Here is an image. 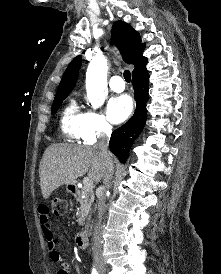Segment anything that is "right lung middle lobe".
Here are the masks:
<instances>
[{"label":"right lung middle lobe","instance_id":"obj_1","mask_svg":"<svg viewBox=\"0 0 221 274\" xmlns=\"http://www.w3.org/2000/svg\"><path fill=\"white\" fill-rule=\"evenodd\" d=\"M68 96V94H64V95H60V96H56L54 98L53 101V106L51 109L52 114H55L57 112V110L59 109V107L62 104V101Z\"/></svg>","mask_w":221,"mask_h":274}]
</instances>
